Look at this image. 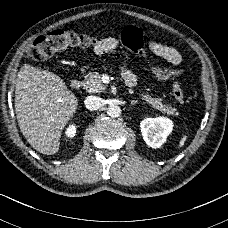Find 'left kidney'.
<instances>
[{"label": "left kidney", "instance_id": "1", "mask_svg": "<svg viewBox=\"0 0 228 228\" xmlns=\"http://www.w3.org/2000/svg\"><path fill=\"white\" fill-rule=\"evenodd\" d=\"M173 123L163 117L145 119L141 122L142 137L147 146L159 148L171 132Z\"/></svg>", "mask_w": 228, "mask_h": 228}]
</instances>
